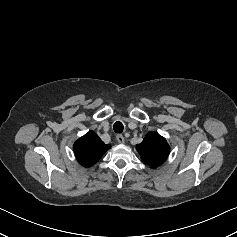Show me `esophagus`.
Wrapping results in <instances>:
<instances>
[{
	"label": "esophagus",
	"mask_w": 237,
	"mask_h": 237,
	"mask_svg": "<svg viewBox=\"0 0 237 237\" xmlns=\"http://www.w3.org/2000/svg\"><path fill=\"white\" fill-rule=\"evenodd\" d=\"M116 139H117V141H118L120 144H123V143H124V137H123V135L118 134V135L116 136Z\"/></svg>",
	"instance_id": "34e87169"
}]
</instances>
